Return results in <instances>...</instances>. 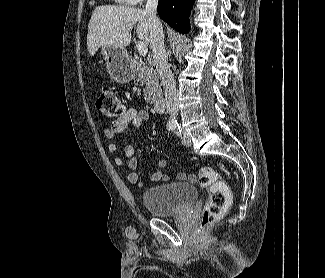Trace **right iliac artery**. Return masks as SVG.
<instances>
[{
  "label": "right iliac artery",
  "mask_w": 325,
  "mask_h": 278,
  "mask_svg": "<svg viewBox=\"0 0 325 278\" xmlns=\"http://www.w3.org/2000/svg\"><path fill=\"white\" fill-rule=\"evenodd\" d=\"M167 128H168V130H174L175 125H173V124H169V125L167 126Z\"/></svg>",
  "instance_id": "obj_1"
}]
</instances>
